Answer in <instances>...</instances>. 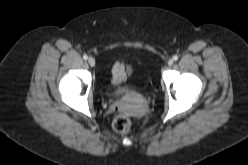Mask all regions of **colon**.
Returning <instances> with one entry per match:
<instances>
[{"mask_svg":"<svg viewBox=\"0 0 248 165\" xmlns=\"http://www.w3.org/2000/svg\"><path fill=\"white\" fill-rule=\"evenodd\" d=\"M131 119L126 114H118L113 120V128L118 133H126L130 130Z\"/></svg>","mask_w":248,"mask_h":165,"instance_id":"1","label":"colon"}]
</instances>
